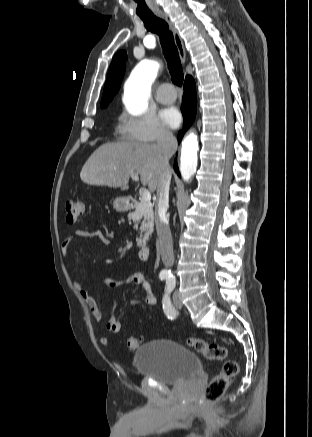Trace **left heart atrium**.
<instances>
[{"instance_id": "obj_1", "label": "left heart atrium", "mask_w": 312, "mask_h": 437, "mask_svg": "<svg viewBox=\"0 0 312 437\" xmlns=\"http://www.w3.org/2000/svg\"><path fill=\"white\" fill-rule=\"evenodd\" d=\"M161 118L164 123L171 128H177L181 122V114L175 107L164 109L161 113Z\"/></svg>"}]
</instances>
